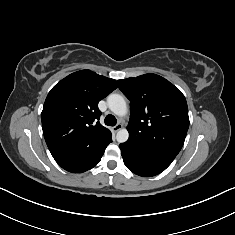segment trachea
<instances>
[{
    "label": "trachea",
    "mask_w": 235,
    "mask_h": 235,
    "mask_svg": "<svg viewBox=\"0 0 235 235\" xmlns=\"http://www.w3.org/2000/svg\"><path fill=\"white\" fill-rule=\"evenodd\" d=\"M116 123H117V120H116V118L113 115L109 114V115H107L105 117V124L106 125H108V126H115Z\"/></svg>",
    "instance_id": "1"
}]
</instances>
